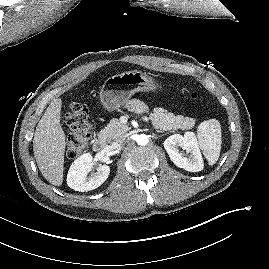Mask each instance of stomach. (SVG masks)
I'll list each match as a JSON object with an SVG mask.
<instances>
[{
    "mask_svg": "<svg viewBox=\"0 0 269 269\" xmlns=\"http://www.w3.org/2000/svg\"><path fill=\"white\" fill-rule=\"evenodd\" d=\"M161 86L157 80L141 71H128L109 77L100 91L102 105L109 111L124 106L137 92H158Z\"/></svg>",
    "mask_w": 269,
    "mask_h": 269,
    "instance_id": "0dacf381",
    "label": "stomach"
}]
</instances>
